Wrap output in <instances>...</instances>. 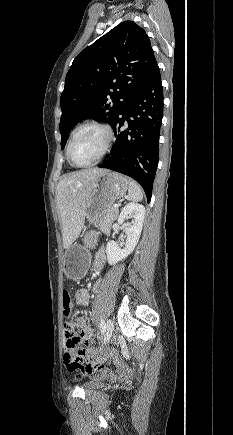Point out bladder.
Returning <instances> with one entry per match:
<instances>
[{"instance_id":"bladder-1","label":"bladder","mask_w":233,"mask_h":435,"mask_svg":"<svg viewBox=\"0 0 233 435\" xmlns=\"http://www.w3.org/2000/svg\"><path fill=\"white\" fill-rule=\"evenodd\" d=\"M91 377L94 379V382H91V383L87 384L85 386V389H95V388H98V386H99L98 381H101L102 379L105 378V376L101 375V374H93Z\"/></svg>"}]
</instances>
